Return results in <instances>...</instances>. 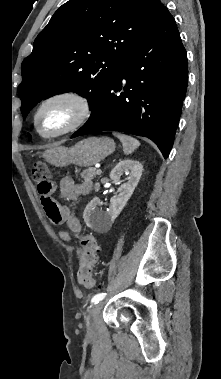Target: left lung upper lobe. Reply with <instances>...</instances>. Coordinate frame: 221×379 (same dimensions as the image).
Masks as SVG:
<instances>
[{
    "instance_id": "obj_1",
    "label": "left lung upper lobe",
    "mask_w": 221,
    "mask_h": 379,
    "mask_svg": "<svg viewBox=\"0 0 221 379\" xmlns=\"http://www.w3.org/2000/svg\"><path fill=\"white\" fill-rule=\"evenodd\" d=\"M164 7L160 0H69L62 5L22 63L23 117L42 99L70 91L87 98L92 109Z\"/></svg>"
}]
</instances>
